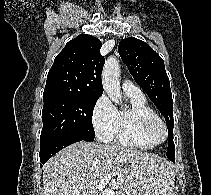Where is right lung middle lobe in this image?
<instances>
[{"label": "right lung middle lobe", "instance_id": "1", "mask_svg": "<svg viewBox=\"0 0 211 195\" xmlns=\"http://www.w3.org/2000/svg\"><path fill=\"white\" fill-rule=\"evenodd\" d=\"M98 98L65 92L43 94L41 145L72 136L93 141L92 114Z\"/></svg>", "mask_w": 211, "mask_h": 195}]
</instances>
